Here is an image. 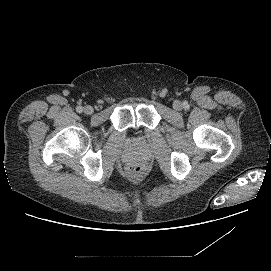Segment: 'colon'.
I'll list each match as a JSON object with an SVG mask.
<instances>
[{
	"label": "colon",
	"mask_w": 271,
	"mask_h": 271,
	"mask_svg": "<svg viewBox=\"0 0 271 271\" xmlns=\"http://www.w3.org/2000/svg\"><path fill=\"white\" fill-rule=\"evenodd\" d=\"M143 172H144L143 166L137 163L130 164L127 167V174L129 177L133 179L139 178L143 174Z\"/></svg>",
	"instance_id": "obj_1"
}]
</instances>
